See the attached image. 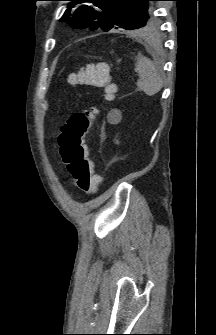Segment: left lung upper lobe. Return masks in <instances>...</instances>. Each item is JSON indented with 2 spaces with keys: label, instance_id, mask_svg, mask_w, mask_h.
<instances>
[{
  "label": "left lung upper lobe",
  "instance_id": "1",
  "mask_svg": "<svg viewBox=\"0 0 216 335\" xmlns=\"http://www.w3.org/2000/svg\"><path fill=\"white\" fill-rule=\"evenodd\" d=\"M70 8L60 21H69L75 28L104 31L124 28L139 29L149 33L157 30V18L153 14L151 1L155 0H66Z\"/></svg>",
  "mask_w": 216,
  "mask_h": 335
}]
</instances>
